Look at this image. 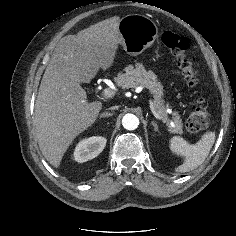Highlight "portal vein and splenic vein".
Here are the masks:
<instances>
[{"label":"portal vein and splenic vein","instance_id":"1","mask_svg":"<svg viewBox=\"0 0 236 236\" xmlns=\"http://www.w3.org/2000/svg\"><path fill=\"white\" fill-rule=\"evenodd\" d=\"M114 94H115V91L111 88L104 89V91L102 93L103 97H105V98L113 97ZM149 104H150V109H151L153 115L155 116V118L158 120L164 121L163 117L158 113V111L155 108L154 103L151 100H149Z\"/></svg>","mask_w":236,"mask_h":236}]
</instances>
